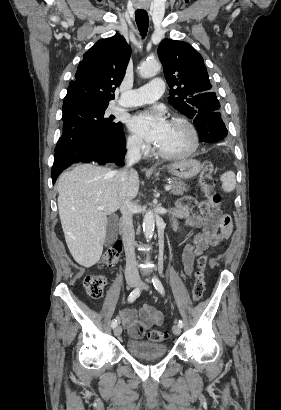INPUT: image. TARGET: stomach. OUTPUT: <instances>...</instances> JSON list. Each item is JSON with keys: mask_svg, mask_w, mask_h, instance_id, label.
I'll use <instances>...</instances> for the list:
<instances>
[{"mask_svg": "<svg viewBox=\"0 0 281 410\" xmlns=\"http://www.w3.org/2000/svg\"><path fill=\"white\" fill-rule=\"evenodd\" d=\"M169 173L179 179H191L201 170V164L195 159H184L167 166Z\"/></svg>", "mask_w": 281, "mask_h": 410, "instance_id": "1", "label": "stomach"}]
</instances>
